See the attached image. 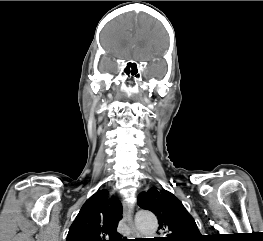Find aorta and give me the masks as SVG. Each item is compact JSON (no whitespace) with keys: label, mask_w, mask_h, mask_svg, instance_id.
Returning a JSON list of instances; mask_svg holds the SVG:
<instances>
[{"label":"aorta","mask_w":263,"mask_h":241,"mask_svg":"<svg viewBox=\"0 0 263 241\" xmlns=\"http://www.w3.org/2000/svg\"><path fill=\"white\" fill-rule=\"evenodd\" d=\"M136 226L143 235H154L158 228L157 218L148 210H139L136 214Z\"/></svg>","instance_id":"aorta-1"}]
</instances>
